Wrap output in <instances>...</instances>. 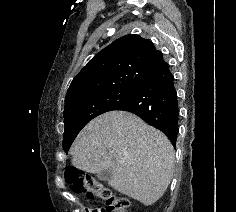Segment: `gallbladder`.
I'll return each mask as SVG.
<instances>
[{
	"instance_id": "1",
	"label": "gallbladder",
	"mask_w": 236,
	"mask_h": 212,
	"mask_svg": "<svg viewBox=\"0 0 236 212\" xmlns=\"http://www.w3.org/2000/svg\"><path fill=\"white\" fill-rule=\"evenodd\" d=\"M97 177L102 181H109L112 178L111 169H105L100 173H97Z\"/></svg>"
}]
</instances>
